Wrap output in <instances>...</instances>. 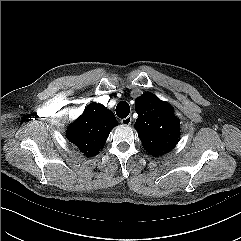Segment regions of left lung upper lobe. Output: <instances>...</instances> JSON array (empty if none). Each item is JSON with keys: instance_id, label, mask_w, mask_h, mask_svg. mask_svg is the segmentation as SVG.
I'll return each mask as SVG.
<instances>
[{"instance_id": "5c2ea615", "label": "left lung upper lobe", "mask_w": 241, "mask_h": 241, "mask_svg": "<svg viewBox=\"0 0 241 241\" xmlns=\"http://www.w3.org/2000/svg\"><path fill=\"white\" fill-rule=\"evenodd\" d=\"M139 117L134 125L146 151L154 156L171 151L180 137V121L171 106L151 93L135 101Z\"/></svg>"}]
</instances>
